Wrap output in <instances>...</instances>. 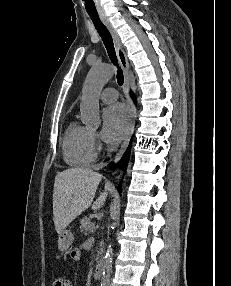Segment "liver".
Returning a JSON list of instances; mask_svg holds the SVG:
<instances>
[{
  "label": "liver",
  "instance_id": "liver-1",
  "mask_svg": "<svg viewBox=\"0 0 231 286\" xmlns=\"http://www.w3.org/2000/svg\"><path fill=\"white\" fill-rule=\"evenodd\" d=\"M101 179V174L88 168H69L56 175L53 221L58 234L90 206L97 210L104 205L108 191L112 192L113 187L105 183V191L93 203Z\"/></svg>",
  "mask_w": 231,
  "mask_h": 286
}]
</instances>
